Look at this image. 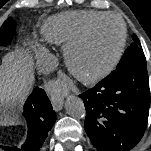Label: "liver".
Instances as JSON below:
<instances>
[{
	"instance_id": "obj_1",
	"label": "liver",
	"mask_w": 151,
	"mask_h": 151,
	"mask_svg": "<svg viewBox=\"0 0 151 151\" xmlns=\"http://www.w3.org/2000/svg\"><path fill=\"white\" fill-rule=\"evenodd\" d=\"M33 60L24 50L7 53L0 66V112L22 103L34 84Z\"/></svg>"
}]
</instances>
